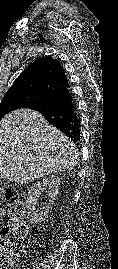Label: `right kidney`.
<instances>
[{
    "label": "right kidney",
    "mask_w": 118,
    "mask_h": 269,
    "mask_svg": "<svg viewBox=\"0 0 118 269\" xmlns=\"http://www.w3.org/2000/svg\"><path fill=\"white\" fill-rule=\"evenodd\" d=\"M60 184L61 181L59 176L50 175L43 178L41 181L32 184V186L28 189L26 208L29 211V219L32 223H41L46 218L50 204L54 202L55 197L58 194ZM44 191L47 192L49 203L46 206L37 207L38 198Z\"/></svg>",
    "instance_id": "1"
}]
</instances>
